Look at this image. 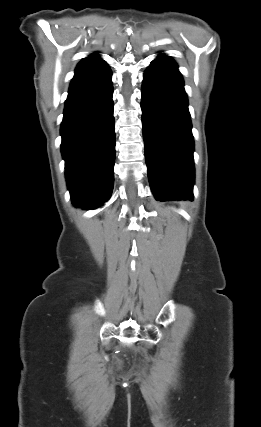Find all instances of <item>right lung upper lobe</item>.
<instances>
[{
  "instance_id": "cb5924a9",
  "label": "right lung upper lobe",
  "mask_w": 261,
  "mask_h": 427,
  "mask_svg": "<svg viewBox=\"0 0 261 427\" xmlns=\"http://www.w3.org/2000/svg\"><path fill=\"white\" fill-rule=\"evenodd\" d=\"M105 65H106V62L103 59H101L97 55L93 54V55L85 58L84 60H82L78 64V66L75 70L74 78L81 76V75H84L86 73L92 72L94 70H97V69H99Z\"/></svg>"
}]
</instances>
